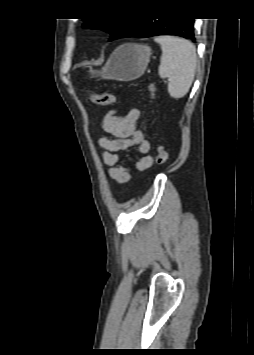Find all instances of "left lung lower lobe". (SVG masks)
<instances>
[{
    "instance_id": "0a47b994",
    "label": "left lung lower lobe",
    "mask_w": 254,
    "mask_h": 355,
    "mask_svg": "<svg viewBox=\"0 0 254 355\" xmlns=\"http://www.w3.org/2000/svg\"><path fill=\"white\" fill-rule=\"evenodd\" d=\"M157 35H177L194 41L193 18H134L128 29L119 37L146 38Z\"/></svg>"
}]
</instances>
